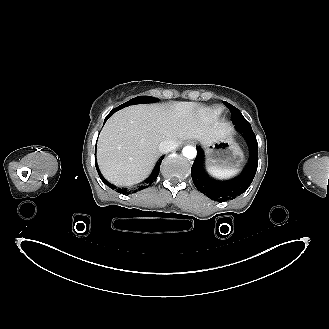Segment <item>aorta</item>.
Here are the masks:
<instances>
[{
  "label": "aorta",
  "instance_id": "762f6f07",
  "mask_svg": "<svg viewBox=\"0 0 329 329\" xmlns=\"http://www.w3.org/2000/svg\"><path fill=\"white\" fill-rule=\"evenodd\" d=\"M182 154L188 159H194L197 155V150L193 146H185L182 149Z\"/></svg>",
  "mask_w": 329,
  "mask_h": 329
}]
</instances>
